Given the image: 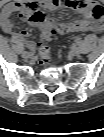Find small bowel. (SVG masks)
Segmentation results:
<instances>
[{
  "instance_id": "c3829d8e",
  "label": "small bowel",
  "mask_w": 104,
  "mask_h": 137,
  "mask_svg": "<svg viewBox=\"0 0 104 137\" xmlns=\"http://www.w3.org/2000/svg\"><path fill=\"white\" fill-rule=\"evenodd\" d=\"M71 8L78 11L86 20L76 21L70 24H58L47 19L44 23L32 21V15L39 9L56 10L58 8ZM18 13L21 21L30 22L40 27L42 31L49 27L57 29L62 35L74 32H96L101 30L103 24L104 8L95 0H29L14 1L6 4L2 10L0 24L5 33L13 34L18 40L26 41L29 36L28 31L14 33L13 14ZM32 46L31 43H28Z\"/></svg>"
}]
</instances>
